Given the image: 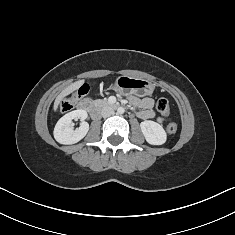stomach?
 Listing matches in <instances>:
<instances>
[{"label": "stomach", "instance_id": "obj_1", "mask_svg": "<svg viewBox=\"0 0 235 235\" xmlns=\"http://www.w3.org/2000/svg\"><path fill=\"white\" fill-rule=\"evenodd\" d=\"M122 95L134 94L138 97L152 95L155 85L148 80L131 76H119L110 86Z\"/></svg>", "mask_w": 235, "mask_h": 235}]
</instances>
